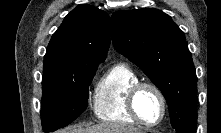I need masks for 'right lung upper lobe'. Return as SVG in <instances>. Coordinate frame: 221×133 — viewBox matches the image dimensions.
Returning <instances> with one entry per match:
<instances>
[{"mask_svg": "<svg viewBox=\"0 0 221 133\" xmlns=\"http://www.w3.org/2000/svg\"><path fill=\"white\" fill-rule=\"evenodd\" d=\"M110 45V18L102 10L80 4L53 34L44 56L43 72L79 64L101 63Z\"/></svg>", "mask_w": 221, "mask_h": 133, "instance_id": "right-lung-upper-lobe-1", "label": "right lung upper lobe"}]
</instances>
